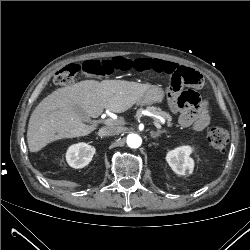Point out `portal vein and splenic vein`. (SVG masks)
Here are the masks:
<instances>
[{
  "mask_svg": "<svg viewBox=\"0 0 250 250\" xmlns=\"http://www.w3.org/2000/svg\"><path fill=\"white\" fill-rule=\"evenodd\" d=\"M159 119H160V121H161L162 123L165 122V119H164V118L159 117ZM113 123H114V120H113V119H106V120H105V124H107V125H112ZM153 123H154V125H155L158 129H161V125H160L159 122H153Z\"/></svg>",
  "mask_w": 250,
  "mask_h": 250,
  "instance_id": "1",
  "label": "portal vein and splenic vein"
}]
</instances>
